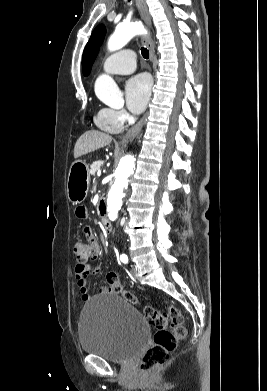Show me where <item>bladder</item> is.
<instances>
[{
  "label": "bladder",
  "mask_w": 267,
  "mask_h": 391,
  "mask_svg": "<svg viewBox=\"0 0 267 391\" xmlns=\"http://www.w3.org/2000/svg\"><path fill=\"white\" fill-rule=\"evenodd\" d=\"M147 339L145 319L118 294L93 298L81 312L79 341L86 354L126 363L140 353Z\"/></svg>",
  "instance_id": "31cf9c89"
}]
</instances>
